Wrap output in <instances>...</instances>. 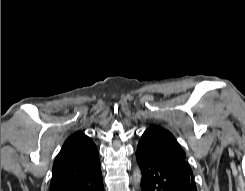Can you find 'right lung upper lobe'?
Masks as SVG:
<instances>
[{"label":"right lung upper lobe","instance_id":"right-lung-upper-lobe-1","mask_svg":"<svg viewBox=\"0 0 245 191\" xmlns=\"http://www.w3.org/2000/svg\"><path fill=\"white\" fill-rule=\"evenodd\" d=\"M100 169L98 150L82 132L71 135L64 143L53 164L50 191L89 177Z\"/></svg>","mask_w":245,"mask_h":191}]
</instances>
